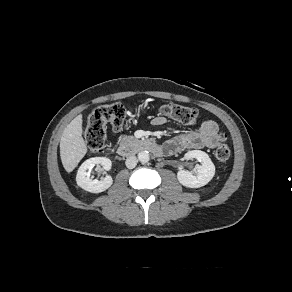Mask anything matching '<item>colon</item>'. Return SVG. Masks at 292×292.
Here are the masks:
<instances>
[{
	"label": "colon",
	"instance_id": "obj_1",
	"mask_svg": "<svg viewBox=\"0 0 292 292\" xmlns=\"http://www.w3.org/2000/svg\"><path fill=\"white\" fill-rule=\"evenodd\" d=\"M159 115L172 119L182 124H194L198 117V111L194 108L165 104L159 108ZM127 117L126 108L120 103L101 105L95 108L87 118L85 139L92 152L99 153L104 150L106 130L110 126L113 131H120L125 126ZM231 151L226 134H220L217 139L215 156L221 162H226Z\"/></svg>",
	"mask_w": 292,
	"mask_h": 292
}]
</instances>
